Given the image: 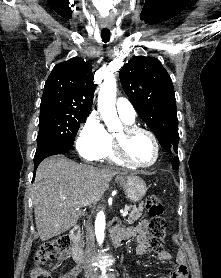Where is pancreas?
Segmentation results:
<instances>
[{
    "label": "pancreas",
    "mask_w": 221,
    "mask_h": 278,
    "mask_svg": "<svg viewBox=\"0 0 221 278\" xmlns=\"http://www.w3.org/2000/svg\"><path fill=\"white\" fill-rule=\"evenodd\" d=\"M126 209L129 210L130 207H127ZM142 212H143V205H139L138 208L133 207L129 213L128 218L125 220V222L132 224L134 221L138 220L142 216Z\"/></svg>",
    "instance_id": "obj_1"
}]
</instances>
